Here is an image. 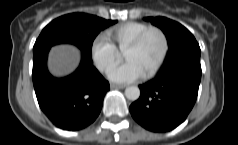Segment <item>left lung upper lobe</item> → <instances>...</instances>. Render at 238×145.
Here are the masks:
<instances>
[{"label": "left lung upper lobe", "instance_id": "left-lung-upper-lobe-1", "mask_svg": "<svg viewBox=\"0 0 238 145\" xmlns=\"http://www.w3.org/2000/svg\"><path fill=\"white\" fill-rule=\"evenodd\" d=\"M145 20L159 27L167 37L169 52L162 68L173 66L190 57H200L199 44L180 23L165 17H147Z\"/></svg>", "mask_w": 238, "mask_h": 145}]
</instances>
